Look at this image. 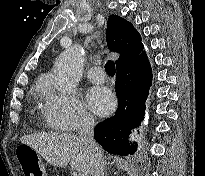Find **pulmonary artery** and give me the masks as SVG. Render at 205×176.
Masks as SVG:
<instances>
[{"label":"pulmonary artery","mask_w":205,"mask_h":176,"mask_svg":"<svg viewBox=\"0 0 205 176\" xmlns=\"http://www.w3.org/2000/svg\"><path fill=\"white\" fill-rule=\"evenodd\" d=\"M86 76L93 83H104L106 81V76L100 67L89 68Z\"/></svg>","instance_id":"e3ab8cb5"}]
</instances>
